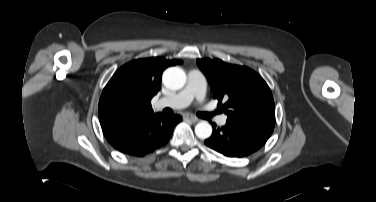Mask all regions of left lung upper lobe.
<instances>
[{
	"label": "left lung upper lobe",
	"instance_id": "1",
	"mask_svg": "<svg viewBox=\"0 0 376 202\" xmlns=\"http://www.w3.org/2000/svg\"><path fill=\"white\" fill-rule=\"evenodd\" d=\"M207 76L214 98L229 121L272 133L275 105L270 88L263 78L245 66L219 59H197Z\"/></svg>",
	"mask_w": 376,
	"mask_h": 202
}]
</instances>
